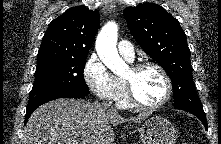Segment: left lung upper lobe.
Returning a JSON list of instances; mask_svg holds the SVG:
<instances>
[{"label": "left lung upper lobe", "instance_id": "5c2ea615", "mask_svg": "<svg viewBox=\"0 0 221 144\" xmlns=\"http://www.w3.org/2000/svg\"><path fill=\"white\" fill-rule=\"evenodd\" d=\"M123 15L135 40L170 77L175 108L203 111L194 88L186 35L178 20L155 3L126 7Z\"/></svg>", "mask_w": 221, "mask_h": 144}]
</instances>
